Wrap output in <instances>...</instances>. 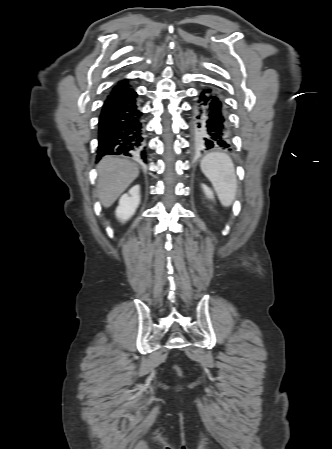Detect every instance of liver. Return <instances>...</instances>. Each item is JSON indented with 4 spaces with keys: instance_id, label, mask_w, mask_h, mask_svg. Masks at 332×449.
<instances>
[{
    "instance_id": "obj_1",
    "label": "liver",
    "mask_w": 332,
    "mask_h": 449,
    "mask_svg": "<svg viewBox=\"0 0 332 449\" xmlns=\"http://www.w3.org/2000/svg\"><path fill=\"white\" fill-rule=\"evenodd\" d=\"M97 196L106 208L112 206L117 198L138 177V166L119 157H104L97 165Z\"/></svg>"
}]
</instances>
